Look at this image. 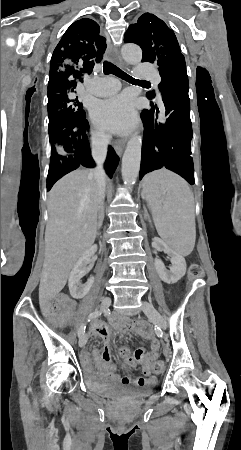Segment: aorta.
<instances>
[{
  "mask_svg": "<svg viewBox=\"0 0 241 450\" xmlns=\"http://www.w3.org/2000/svg\"><path fill=\"white\" fill-rule=\"evenodd\" d=\"M122 56L130 64H137L142 59V51L135 44H126L122 47ZM142 138L135 133L127 143L122 158V179L125 185L134 184L137 180L141 164Z\"/></svg>",
  "mask_w": 241,
  "mask_h": 450,
  "instance_id": "obj_1",
  "label": "aorta"
}]
</instances>
